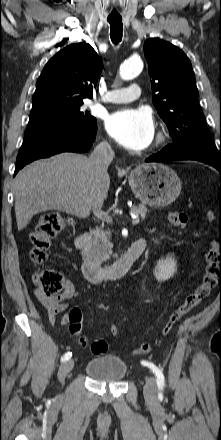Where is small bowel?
I'll return each mask as SVG.
<instances>
[{
    "mask_svg": "<svg viewBox=\"0 0 221 440\" xmlns=\"http://www.w3.org/2000/svg\"><path fill=\"white\" fill-rule=\"evenodd\" d=\"M75 289L74 285L71 281L65 282V288L60 295L54 298H46L42 296L39 292H36V296L38 300L42 303V305L46 308L48 313L49 321L52 324L57 323V315L59 313H63L61 318V324L67 325L69 323L68 315L70 310V305L67 302L74 295ZM132 307V311L134 313V308L132 303H130Z\"/></svg>",
    "mask_w": 221,
    "mask_h": 440,
    "instance_id": "obj_1",
    "label": "small bowel"
}]
</instances>
